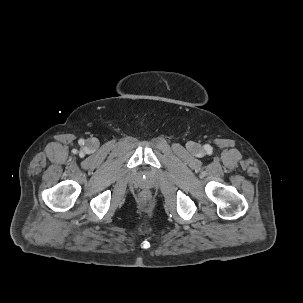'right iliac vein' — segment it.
Masks as SVG:
<instances>
[{"label":"right iliac vein","instance_id":"obj_1","mask_svg":"<svg viewBox=\"0 0 303 303\" xmlns=\"http://www.w3.org/2000/svg\"><path fill=\"white\" fill-rule=\"evenodd\" d=\"M90 144H91L92 146H95V143H94V142H91Z\"/></svg>","mask_w":303,"mask_h":303}]
</instances>
